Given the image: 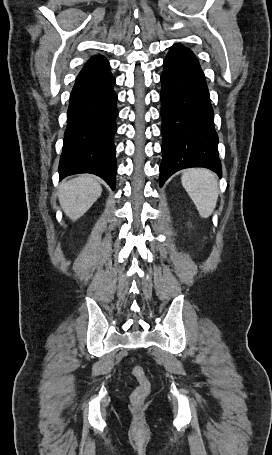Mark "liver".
I'll list each match as a JSON object with an SVG mask.
<instances>
[{
  "label": "liver",
  "instance_id": "6515ba94",
  "mask_svg": "<svg viewBox=\"0 0 272 455\" xmlns=\"http://www.w3.org/2000/svg\"><path fill=\"white\" fill-rule=\"evenodd\" d=\"M102 187L90 175H81L59 186L58 198L66 216L72 221L82 217L100 197Z\"/></svg>",
  "mask_w": 272,
  "mask_h": 455
}]
</instances>
